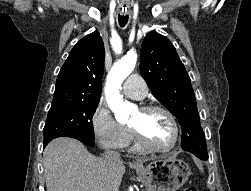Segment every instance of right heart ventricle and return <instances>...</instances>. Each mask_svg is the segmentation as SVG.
I'll return each instance as SVG.
<instances>
[{"label":"right heart ventricle","instance_id":"obj_1","mask_svg":"<svg viewBox=\"0 0 251 191\" xmlns=\"http://www.w3.org/2000/svg\"><path fill=\"white\" fill-rule=\"evenodd\" d=\"M128 145H130V151L132 153L143 154L146 152V150L138 144L133 134L131 135V139Z\"/></svg>","mask_w":251,"mask_h":191}]
</instances>
